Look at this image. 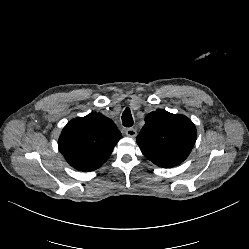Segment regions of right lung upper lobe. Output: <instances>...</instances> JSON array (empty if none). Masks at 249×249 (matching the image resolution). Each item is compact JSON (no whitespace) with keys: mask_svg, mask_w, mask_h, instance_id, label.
Instances as JSON below:
<instances>
[{"mask_svg":"<svg viewBox=\"0 0 249 249\" xmlns=\"http://www.w3.org/2000/svg\"><path fill=\"white\" fill-rule=\"evenodd\" d=\"M122 137L115 123L101 113L71 120L63 129L58 147L66 161L79 171L101 167Z\"/></svg>","mask_w":249,"mask_h":249,"instance_id":"right-lung-upper-lobe-1","label":"right lung upper lobe"}]
</instances>
